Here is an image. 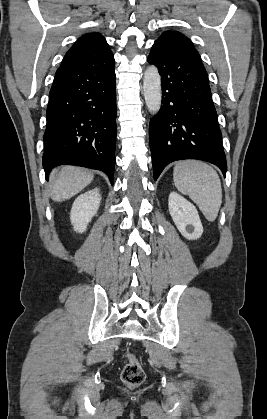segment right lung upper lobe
Wrapping results in <instances>:
<instances>
[{"label":"right lung upper lobe","instance_id":"1","mask_svg":"<svg viewBox=\"0 0 267 419\" xmlns=\"http://www.w3.org/2000/svg\"><path fill=\"white\" fill-rule=\"evenodd\" d=\"M111 61H114V57L105 38L94 32L81 36L74 43L60 67L92 68Z\"/></svg>","mask_w":267,"mask_h":419}]
</instances>
